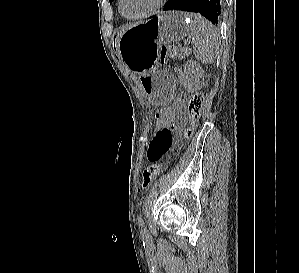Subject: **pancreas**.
I'll return each instance as SVG.
<instances>
[{
	"mask_svg": "<svg viewBox=\"0 0 299 273\" xmlns=\"http://www.w3.org/2000/svg\"><path fill=\"white\" fill-rule=\"evenodd\" d=\"M189 54H190V49L186 47L178 49V51L175 53V55L180 59L189 56Z\"/></svg>",
	"mask_w": 299,
	"mask_h": 273,
	"instance_id": "cf45deb5",
	"label": "pancreas"
}]
</instances>
